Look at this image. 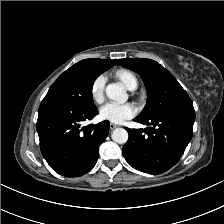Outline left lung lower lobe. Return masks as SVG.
Segmentation results:
<instances>
[{
    "mask_svg": "<svg viewBox=\"0 0 224 224\" xmlns=\"http://www.w3.org/2000/svg\"><path fill=\"white\" fill-rule=\"evenodd\" d=\"M134 121L152 125L147 129H128L129 139L123 155L133 168L159 174L174 166L192 138L195 111L193 106L175 108L151 118Z\"/></svg>",
    "mask_w": 224,
    "mask_h": 224,
    "instance_id": "left-lung-lower-lobe-1",
    "label": "left lung lower lobe"
}]
</instances>
